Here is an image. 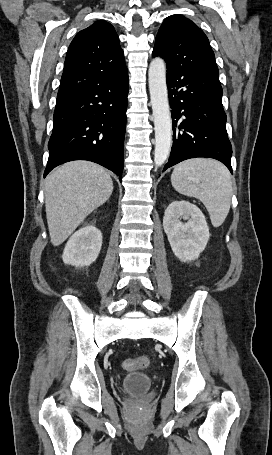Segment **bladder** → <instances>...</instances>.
Returning a JSON list of instances; mask_svg holds the SVG:
<instances>
[{
    "instance_id": "bladder-1",
    "label": "bladder",
    "mask_w": 272,
    "mask_h": 455,
    "mask_svg": "<svg viewBox=\"0 0 272 455\" xmlns=\"http://www.w3.org/2000/svg\"><path fill=\"white\" fill-rule=\"evenodd\" d=\"M152 385L150 377L144 373H128L122 380V389L133 394L147 392Z\"/></svg>"
}]
</instances>
